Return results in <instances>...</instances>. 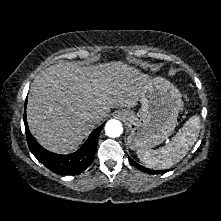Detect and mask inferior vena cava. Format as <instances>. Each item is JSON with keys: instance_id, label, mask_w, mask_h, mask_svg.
Masks as SVG:
<instances>
[{"instance_id": "obj_1", "label": "inferior vena cava", "mask_w": 221, "mask_h": 221, "mask_svg": "<svg viewBox=\"0 0 221 221\" xmlns=\"http://www.w3.org/2000/svg\"><path fill=\"white\" fill-rule=\"evenodd\" d=\"M98 119V116L97 115H90L86 118V121L89 123V124H94Z\"/></svg>"}]
</instances>
